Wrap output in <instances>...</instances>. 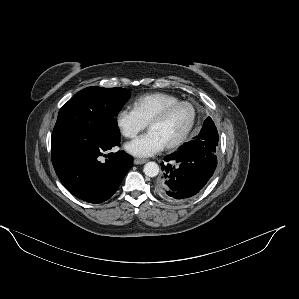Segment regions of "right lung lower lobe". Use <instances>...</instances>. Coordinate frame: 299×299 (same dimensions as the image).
<instances>
[{
    "label": "right lung lower lobe",
    "mask_w": 299,
    "mask_h": 299,
    "mask_svg": "<svg viewBox=\"0 0 299 299\" xmlns=\"http://www.w3.org/2000/svg\"><path fill=\"white\" fill-rule=\"evenodd\" d=\"M120 140L76 135L53 141L51 157L56 174L76 197L90 203L109 199L118 189L133 159L124 151L109 153L105 163L100 156Z\"/></svg>",
    "instance_id": "1"
}]
</instances>
